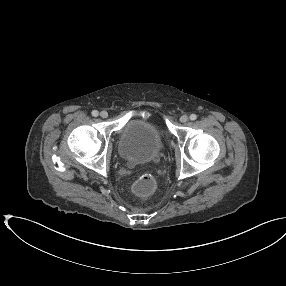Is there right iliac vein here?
<instances>
[{
  "mask_svg": "<svg viewBox=\"0 0 286 286\" xmlns=\"http://www.w3.org/2000/svg\"><path fill=\"white\" fill-rule=\"evenodd\" d=\"M100 116H101L102 118H107V117H108L107 111H101V112H100Z\"/></svg>",
  "mask_w": 286,
  "mask_h": 286,
  "instance_id": "right-iliac-vein-1",
  "label": "right iliac vein"
}]
</instances>
